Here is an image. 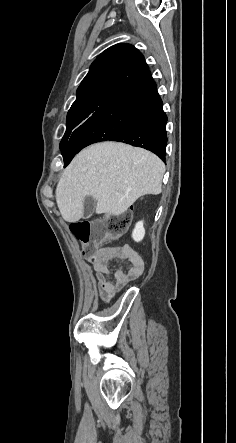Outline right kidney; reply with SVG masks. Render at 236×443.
Returning <instances> with one entry per match:
<instances>
[{
    "mask_svg": "<svg viewBox=\"0 0 236 443\" xmlns=\"http://www.w3.org/2000/svg\"><path fill=\"white\" fill-rule=\"evenodd\" d=\"M144 235H145V229L143 227V221H140L135 225V228L132 232V238L136 242H139L144 238Z\"/></svg>",
    "mask_w": 236,
    "mask_h": 443,
    "instance_id": "1",
    "label": "right kidney"
}]
</instances>
